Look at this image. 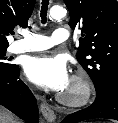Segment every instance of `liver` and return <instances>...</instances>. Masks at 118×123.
<instances>
[{"mask_svg": "<svg viewBox=\"0 0 118 123\" xmlns=\"http://www.w3.org/2000/svg\"><path fill=\"white\" fill-rule=\"evenodd\" d=\"M0 123H20L14 115L0 105Z\"/></svg>", "mask_w": 118, "mask_h": 123, "instance_id": "1", "label": "liver"}]
</instances>
